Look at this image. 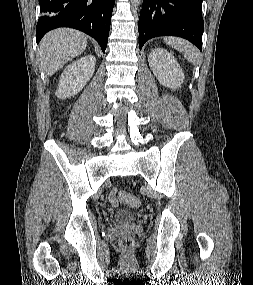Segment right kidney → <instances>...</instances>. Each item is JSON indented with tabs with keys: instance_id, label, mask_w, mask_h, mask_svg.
<instances>
[{
	"instance_id": "obj_1",
	"label": "right kidney",
	"mask_w": 253,
	"mask_h": 285,
	"mask_svg": "<svg viewBox=\"0 0 253 285\" xmlns=\"http://www.w3.org/2000/svg\"><path fill=\"white\" fill-rule=\"evenodd\" d=\"M95 63L96 58L90 54L69 64L61 74L55 95L64 99L80 92L93 76Z\"/></svg>"
}]
</instances>
